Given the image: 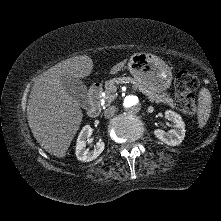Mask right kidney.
Segmentation results:
<instances>
[{
  "label": "right kidney",
  "mask_w": 221,
  "mask_h": 221,
  "mask_svg": "<svg viewBox=\"0 0 221 221\" xmlns=\"http://www.w3.org/2000/svg\"><path fill=\"white\" fill-rule=\"evenodd\" d=\"M91 135L92 128L90 125H85L79 133L75 153L77 159L80 161L90 162L96 159L105 148V143L99 140L94 146L93 150L89 151V149H86V139H88Z\"/></svg>",
  "instance_id": "1"
}]
</instances>
